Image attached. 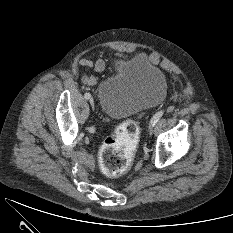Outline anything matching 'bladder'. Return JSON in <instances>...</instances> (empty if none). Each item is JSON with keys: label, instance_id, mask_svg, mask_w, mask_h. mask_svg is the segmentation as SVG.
<instances>
[{"label": "bladder", "instance_id": "bladder-1", "mask_svg": "<svg viewBox=\"0 0 233 233\" xmlns=\"http://www.w3.org/2000/svg\"><path fill=\"white\" fill-rule=\"evenodd\" d=\"M164 73L146 56L136 55L118 63L117 71L97 87L102 111L122 119L160 104L167 95Z\"/></svg>", "mask_w": 233, "mask_h": 233}]
</instances>
